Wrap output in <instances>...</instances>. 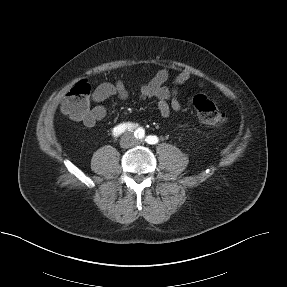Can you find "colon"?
<instances>
[{
  "label": "colon",
  "mask_w": 287,
  "mask_h": 287,
  "mask_svg": "<svg viewBox=\"0 0 287 287\" xmlns=\"http://www.w3.org/2000/svg\"><path fill=\"white\" fill-rule=\"evenodd\" d=\"M90 98L91 87L89 83L81 81L67 93L61 109L70 118L82 121L90 110ZM190 103L203 123L216 127H221L226 123V115L205 95L192 96Z\"/></svg>",
  "instance_id": "colon-1"
}]
</instances>
